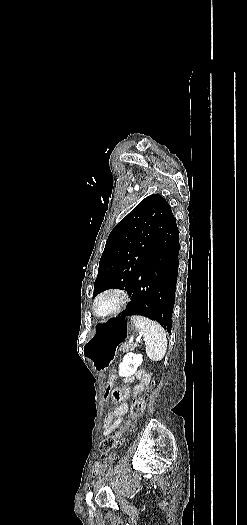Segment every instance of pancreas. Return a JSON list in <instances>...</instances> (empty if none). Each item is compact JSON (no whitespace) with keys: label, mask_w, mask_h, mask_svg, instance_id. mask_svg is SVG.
<instances>
[{"label":"pancreas","mask_w":247,"mask_h":525,"mask_svg":"<svg viewBox=\"0 0 247 525\" xmlns=\"http://www.w3.org/2000/svg\"><path fill=\"white\" fill-rule=\"evenodd\" d=\"M135 347L136 345H132V343H124V345H121L120 351L125 353L126 351H132Z\"/></svg>","instance_id":"obj_1"}]
</instances>
